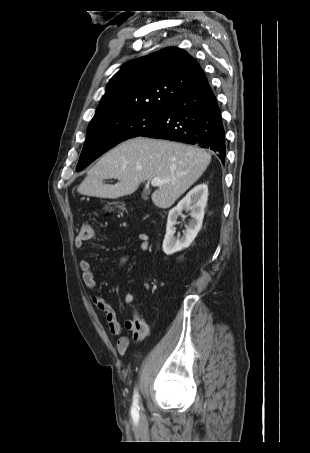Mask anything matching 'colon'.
I'll return each instance as SVG.
<instances>
[{
	"instance_id": "5ec220e1",
	"label": "colon",
	"mask_w": 310,
	"mask_h": 453,
	"mask_svg": "<svg viewBox=\"0 0 310 453\" xmlns=\"http://www.w3.org/2000/svg\"><path fill=\"white\" fill-rule=\"evenodd\" d=\"M95 233V229L91 224H84L81 230V235L84 238H89L93 236Z\"/></svg>"
}]
</instances>
